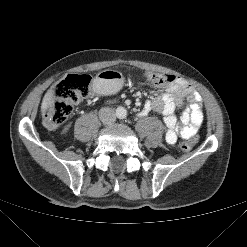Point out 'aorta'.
I'll list each match as a JSON object with an SVG mask.
<instances>
[{"label":"aorta","mask_w":247,"mask_h":247,"mask_svg":"<svg viewBox=\"0 0 247 247\" xmlns=\"http://www.w3.org/2000/svg\"><path fill=\"white\" fill-rule=\"evenodd\" d=\"M116 115L118 118L123 119L127 115V110L124 107L120 106L116 109Z\"/></svg>","instance_id":"obj_1"}]
</instances>
